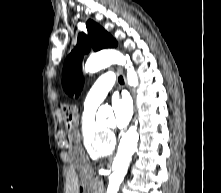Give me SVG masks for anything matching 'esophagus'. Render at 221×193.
<instances>
[{
    "mask_svg": "<svg viewBox=\"0 0 221 193\" xmlns=\"http://www.w3.org/2000/svg\"><path fill=\"white\" fill-rule=\"evenodd\" d=\"M118 71L123 75V79H124V82H125V84H126V77H125V75L123 74V71H122V68L121 67H118ZM132 97H133V104L134 105H132V108H134V117H133V120H132V122H134L135 121V119H136V101H135V97H134V94L132 93ZM130 123L129 125L132 127L134 124L133 123Z\"/></svg>",
    "mask_w": 221,
    "mask_h": 193,
    "instance_id": "1",
    "label": "esophagus"
}]
</instances>
